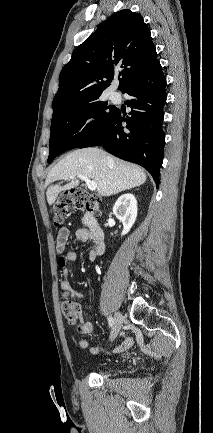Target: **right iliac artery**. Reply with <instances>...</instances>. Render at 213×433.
Wrapping results in <instances>:
<instances>
[{"mask_svg":"<svg viewBox=\"0 0 213 433\" xmlns=\"http://www.w3.org/2000/svg\"><path fill=\"white\" fill-rule=\"evenodd\" d=\"M107 320H108L109 326L112 327L113 324H114V319H113L111 316H109V317L107 318Z\"/></svg>","mask_w":213,"mask_h":433,"instance_id":"82829eb1","label":"right iliac artery"}]
</instances>
